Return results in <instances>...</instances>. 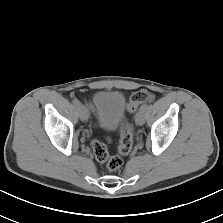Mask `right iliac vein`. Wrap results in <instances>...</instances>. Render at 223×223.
Returning a JSON list of instances; mask_svg holds the SVG:
<instances>
[{"label":"right iliac vein","mask_w":223,"mask_h":223,"mask_svg":"<svg viewBox=\"0 0 223 223\" xmlns=\"http://www.w3.org/2000/svg\"><path fill=\"white\" fill-rule=\"evenodd\" d=\"M78 111H79L80 119L82 121H87L88 120V110H87V108L84 105L80 104L78 106Z\"/></svg>","instance_id":"right-iliac-vein-1"}]
</instances>
